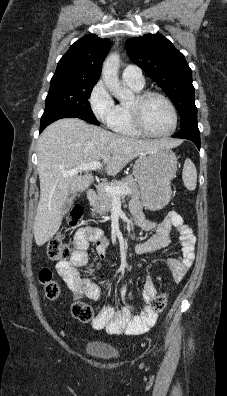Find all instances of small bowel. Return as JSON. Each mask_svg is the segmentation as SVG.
I'll return each instance as SVG.
<instances>
[{
    "instance_id": "c3829d8e",
    "label": "small bowel",
    "mask_w": 227,
    "mask_h": 396,
    "mask_svg": "<svg viewBox=\"0 0 227 396\" xmlns=\"http://www.w3.org/2000/svg\"><path fill=\"white\" fill-rule=\"evenodd\" d=\"M131 214L136 224L144 231L154 233L145 241L136 245L139 253L165 248L170 243L171 230L174 228L180 235L181 253L167 261V268L175 282H180L192 266L195 259L196 237L191 227L186 225L183 218L175 211H170L161 222L148 220L142 212L139 201L133 200L130 204ZM75 250L71 257L57 262L56 269L63 278L67 287L76 294L97 300L103 295L105 275L100 271L99 262L93 265L94 277L85 275L82 269L88 263L87 249L90 243H95L98 258H102L108 246V240L103 238L100 231L91 226L78 229L74 236ZM123 296L126 288L122 289ZM156 295V288L151 276H148L141 290L143 306L140 310L130 304L121 308L105 307L93 320L92 327L96 330H105L109 334L125 332L130 335H139L148 331L157 321L150 302Z\"/></svg>"
}]
</instances>
